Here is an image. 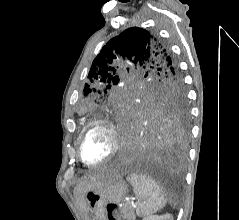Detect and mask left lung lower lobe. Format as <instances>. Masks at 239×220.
<instances>
[{
	"label": "left lung lower lobe",
	"instance_id": "obj_1",
	"mask_svg": "<svg viewBox=\"0 0 239 220\" xmlns=\"http://www.w3.org/2000/svg\"><path fill=\"white\" fill-rule=\"evenodd\" d=\"M187 113L137 110L104 117L118 124L123 132L121 159L125 162L178 165L186 155Z\"/></svg>",
	"mask_w": 239,
	"mask_h": 220
}]
</instances>
